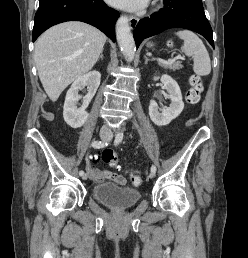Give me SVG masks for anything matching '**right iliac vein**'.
Here are the masks:
<instances>
[{
    "instance_id": "63e3f726",
    "label": "right iliac vein",
    "mask_w": 248,
    "mask_h": 258,
    "mask_svg": "<svg viewBox=\"0 0 248 258\" xmlns=\"http://www.w3.org/2000/svg\"><path fill=\"white\" fill-rule=\"evenodd\" d=\"M100 137H101L102 140H108L109 134L102 131L100 133ZM87 178H88V174H84L83 177H82L83 180H87Z\"/></svg>"
}]
</instances>
